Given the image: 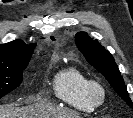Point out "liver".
I'll return each mask as SVG.
<instances>
[{
    "mask_svg": "<svg viewBox=\"0 0 133 118\" xmlns=\"http://www.w3.org/2000/svg\"><path fill=\"white\" fill-rule=\"evenodd\" d=\"M0 118H81L72 110L49 104H35L28 107L0 106Z\"/></svg>",
    "mask_w": 133,
    "mask_h": 118,
    "instance_id": "1",
    "label": "liver"
}]
</instances>
